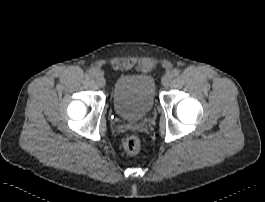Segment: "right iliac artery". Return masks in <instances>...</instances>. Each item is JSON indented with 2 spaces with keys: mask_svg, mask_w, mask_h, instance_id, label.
Returning a JSON list of instances; mask_svg holds the SVG:
<instances>
[{
  "mask_svg": "<svg viewBox=\"0 0 265 202\" xmlns=\"http://www.w3.org/2000/svg\"><path fill=\"white\" fill-rule=\"evenodd\" d=\"M87 76L88 77H94L95 76V72L93 70H88L87 71Z\"/></svg>",
  "mask_w": 265,
  "mask_h": 202,
  "instance_id": "right-iliac-artery-1",
  "label": "right iliac artery"
}]
</instances>
